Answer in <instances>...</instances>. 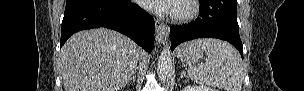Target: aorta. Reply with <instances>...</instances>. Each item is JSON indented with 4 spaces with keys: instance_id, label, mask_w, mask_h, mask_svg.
Instances as JSON below:
<instances>
[{
    "instance_id": "obj_1",
    "label": "aorta",
    "mask_w": 304,
    "mask_h": 91,
    "mask_svg": "<svg viewBox=\"0 0 304 91\" xmlns=\"http://www.w3.org/2000/svg\"><path fill=\"white\" fill-rule=\"evenodd\" d=\"M157 73L160 81L166 82L169 80L172 74V53L170 46H165L160 53Z\"/></svg>"
}]
</instances>
